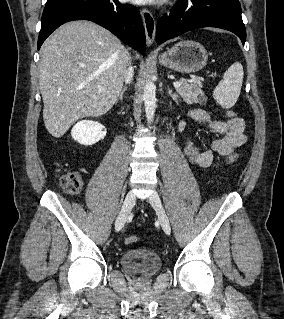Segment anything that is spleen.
<instances>
[{
    "label": "spleen",
    "mask_w": 284,
    "mask_h": 319,
    "mask_svg": "<svg viewBox=\"0 0 284 319\" xmlns=\"http://www.w3.org/2000/svg\"><path fill=\"white\" fill-rule=\"evenodd\" d=\"M243 67L241 63H233L224 73L223 79L215 87L213 97L223 108H231L237 101L243 82Z\"/></svg>",
    "instance_id": "spleen-1"
}]
</instances>
